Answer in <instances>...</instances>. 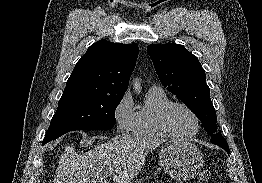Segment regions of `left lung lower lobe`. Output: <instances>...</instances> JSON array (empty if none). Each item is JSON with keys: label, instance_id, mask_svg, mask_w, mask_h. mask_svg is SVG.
Wrapping results in <instances>:
<instances>
[{"label": "left lung lower lobe", "instance_id": "0a47b994", "mask_svg": "<svg viewBox=\"0 0 262 183\" xmlns=\"http://www.w3.org/2000/svg\"><path fill=\"white\" fill-rule=\"evenodd\" d=\"M218 146L222 147L228 154H229V147L228 144H217Z\"/></svg>", "mask_w": 262, "mask_h": 183}]
</instances>
